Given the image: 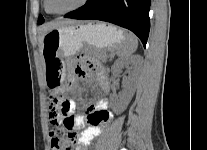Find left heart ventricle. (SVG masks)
Masks as SVG:
<instances>
[{"instance_id":"b2bd125f","label":"left heart ventricle","mask_w":207,"mask_h":150,"mask_svg":"<svg viewBox=\"0 0 207 150\" xmlns=\"http://www.w3.org/2000/svg\"><path fill=\"white\" fill-rule=\"evenodd\" d=\"M81 0H49V6L53 11L62 12L76 6Z\"/></svg>"}]
</instances>
